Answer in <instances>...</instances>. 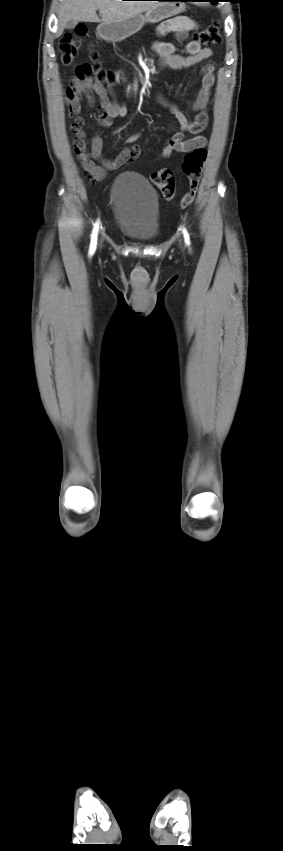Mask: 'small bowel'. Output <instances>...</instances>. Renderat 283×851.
Instances as JSON below:
<instances>
[{
  "mask_svg": "<svg viewBox=\"0 0 283 851\" xmlns=\"http://www.w3.org/2000/svg\"><path fill=\"white\" fill-rule=\"evenodd\" d=\"M196 28V23L185 17H178L162 22L158 28L159 35H165L169 32H175L183 36L188 31ZM155 51L162 58V66L172 69H182L195 66L204 60L210 58L213 51L210 48H202L200 43L190 41L185 45L187 56H182L177 53L176 47L168 42L156 41L154 43ZM215 65L210 63L206 66L202 75L201 88L192 105V111L196 113L193 120H189L184 113L176 107L160 100L174 115L178 122V130L169 137L162 146V150L157 159L169 157L173 152H190L196 148L206 145V138L200 133L205 129L208 123L207 107L210 101L212 87L215 81L213 70ZM96 94L100 99L101 109L93 113L96 119L102 126L110 127L114 118L123 117L127 113V108L124 105L112 102L108 97V90L97 79L87 74L86 65H80L76 68V76L70 81L66 89V101L68 104L69 117L73 119L71 124V132L75 140V152L81 167L94 180H103L107 171L115 170L121 166L132 162L140 155V146L135 144L139 138V134L132 135L126 140L128 145L114 159L103 157V141L98 135L87 139L83 129L84 120L80 116L82 111L81 99L85 98L89 105H93L94 96ZM185 133L194 134L195 136L189 139H184Z\"/></svg>",
  "mask_w": 283,
  "mask_h": 851,
  "instance_id": "small-bowel-1",
  "label": "small bowel"
}]
</instances>
